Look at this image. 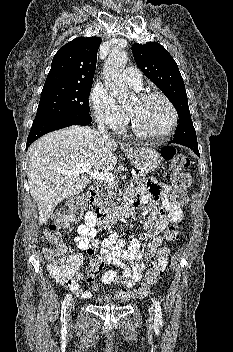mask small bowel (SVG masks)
<instances>
[{"label": "small bowel", "instance_id": "small-bowel-1", "mask_svg": "<svg viewBox=\"0 0 233 352\" xmlns=\"http://www.w3.org/2000/svg\"><path fill=\"white\" fill-rule=\"evenodd\" d=\"M170 195L171 189L155 179L148 180L145 185L130 192L129 198L133 200L136 208L140 204L147 203L150 198L154 200V205L149 222L137 236L129 238L127 248L125 247L126 242L118 233H112L101 242L96 239L102 228L96 225L92 212H88L84 223L77 227V235L74 238L77 248L85 251V255L80 252L70 254L67 259L74 268V272L66 279L57 280L75 296L89 299L91 293L83 290L77 280L83 276L80 268L84 263L85 256H94L98 250L107 257V265L112 264L121 270V274L115 270L106 271L102 275V281L105 284L121 283L126 287L134 286L141 279L146 268L145 261L154 256H157L156 262L164 268L167 264L169 251L161 246V233L169 224L179 222L183 216L180 206L170 200ZM141 241L146 242L145 251L140 248ZM124 260L135 262L127 265Z\"/></svg>", "mask_w": 233, "mask_h": 352}]
</instances>
